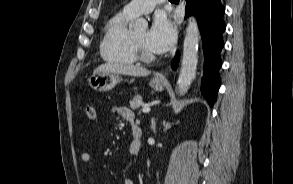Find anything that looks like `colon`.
I'll return each mask as SVG.
<instances>
[{"label": "colon", "instance_id": "colon-1", "mask_svg": "<svg viewBox=\"0 0 293 184\" xmlns=\"http://www.w3.org/2000/svg\"><path fill=\"white\" fill-rule=\"evenodd\" d=\"M86 116L90 121H94L96 119L97 112L93 105H88L86 107Z\"/></svg>", "mask_w": 293, "mask_h": 184}]
</instances>
